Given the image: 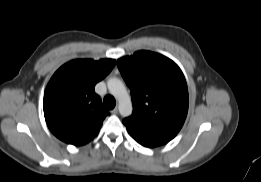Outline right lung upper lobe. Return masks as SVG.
<instances>
[{
  "label": "right lung upper lobe",
  "mask_w": 261,
  "mask_h": 182,
  "mask_svg": "<svg viewBox=\"0 0 261 182\" xmlns=\"http://www.w3.org/2000/svg\"><path fill=\"white\" fill-rule=\"evenodd\" d=\"M115 63L113 59H76L55 72L45 89L43 109L46 123L57 138L80 146L98 134L109 112L94 87Z\"/></svg>",
  "instance_id": "right-lung-upper-lobe-1"
}]
</instances>
